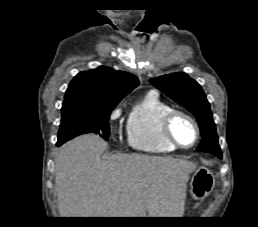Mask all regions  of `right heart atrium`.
Returning a JSON list of instances; mask_svg holds the SVG:
<instances>
[{
  "mask_svg": "<svg viewBox=\"0 0 258 227\" xmlns=\"http://www.w3.org/2000/svg\"><path fill=\"white\" fill-rule=\"evenodd\" d=\"M118 115H119V110H115V111L112 113L111 118H112V119H115V118L118 117Z\"/></svg>",
  "mask_w": 258,
  "mask_h": 227,
  "instance_id": "right-heart-atrium-1",
  "label": "right heart atrium"
}]
</instances>
